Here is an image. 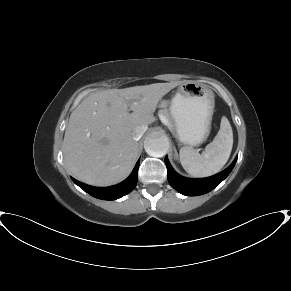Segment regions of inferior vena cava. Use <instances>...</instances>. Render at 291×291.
Here are the masks:
<instances>
[{"label":"inferior vena cava","instance_id":"obj_1","mask_svg":"<svg viewBox=\"0 0 291 291\" xmlns=\"http://www.w3.org/2000/svg\"><path fill=\"white\" fill-rule=\"evenodd\" d=\"M146 130H147L146 126L135 127L132 131L133 139L138 141L143 136V134L146 132Z\"/></svg>","mask_w":291,"mask_h":291}]
</instances>
